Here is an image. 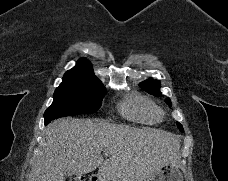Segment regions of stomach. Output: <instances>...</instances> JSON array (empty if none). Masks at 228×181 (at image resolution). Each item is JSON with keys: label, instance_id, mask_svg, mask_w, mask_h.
Returning a JSON list of instances; mask_svg holds the SVG:
<instances>
[{"label": "stomach", "instance_id": "1", "mask_svg": "<svg viewBox=\"0 0 228 181\" xmlns=\"http://www.w3.org/2000/svg\"><path fill=\"white\" fill-rule=\"evenodd\" d=\"M147 181H183L182 173L178 167H162L158 169L157 177Z\"/></svg>", "mask_w": 228, "mask_h": 181}]
</instances>
